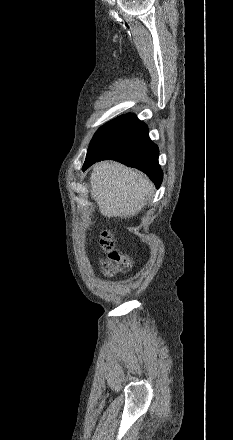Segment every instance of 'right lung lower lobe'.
Masks as SVG:
<instances>
[{
    "mask_svg": "<svg viewBox=\"0 0 233 440\" xmlns=\"http://www.w3.org/2000/svg\"><path fill=\"white\" fill-rule=\"evenodd\" d=\"M159 150L148 136V127L133 114H125L103 125L94 135L83 170L93 163L113 159L145 172L159 188L163 172Z\"/></svg>",
    "mask_w": 233,
    "mask_h": 440,
    "instance_id": "1",
    "label": "right lung lower lobe"
}]
</instances>
